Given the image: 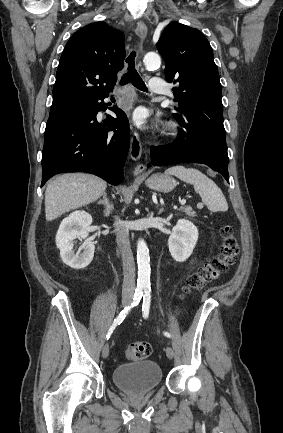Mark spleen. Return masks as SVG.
Returning a JSON list of instances; mask_svg holds the SVG:
<instances>
[{"instance_id": "obj_1", "label": "spleen", "mask_w": 283, "mask_h": 433, "mask_svg": "<svg viewBox=\"0 0 283 433\" xmlns=\"http://www.w3.org/2000/svg\"><path fill=\"white\" fill-rule=\"evenodd\" d=\"M166 174H175L184 182L193 184L196 192H199L204 204H207L209 210H228L227 200L219 186L208 178L206 174L197 170V168H185V166H171L165 170Z\"/></svg>"}]
</instances>
